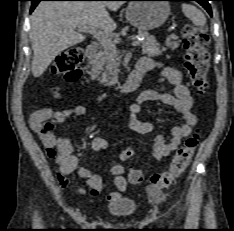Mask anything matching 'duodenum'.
Here are the masks:
<instances>
[{
	"label": "duodenum",
	"instance_id": "obj_1",
	"mask_svg": "<svg viewBox=\"0 0 234 231\" xmlns=\"http://www.w3.org/2000/svg\"><path fill=\"white\" fill-rule=\"evenodd\" d=\"M96 53V45L90 44L87 46L85 50L86 57H92ZM151 67L146 64H140L138 62L135 70L130 74V76L125 81L124 85L122 86L120 92L122 94H129L134 92L142 81V76L144 73L149 71Z\"/></svg>",
	"mask_w": 234,
	"mask_h": 231
}]
</instances>
